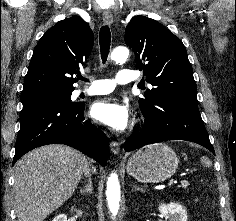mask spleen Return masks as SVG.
Here are the masks:
<instances>
[{"instance_id":"spleen-1","label":"spleen","mask_w":236,"mask_h":221,"mask_svg":"<svg viewBox=\"0 0 236 221\" xmlns=\"http://www.w3.org/2000/svg\"><path fill=\"white\" fill-rule=\"evenodd\" d=\"M201 160L206 167H211V161L208 158L202 157Z\"/></svg>"}]
</instances>
